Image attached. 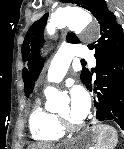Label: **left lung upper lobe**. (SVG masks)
<instances>
[{
  "mask_svg": "<svg viewBox=\"0 0 124 149\" xmlns=\"http://www.w3.org/2000/svg\"><path fill=\"white\" fill-rule=\"evenodd\" d=\"M63 2L75 3L90 11L97 19L100 25V38L88 45L89 49L95 51L94 56L97 62L124 49L122 26L116 22L115 15L109 11L104 0H63ZM48 15L46 13L30 27L22 45V58L24 61H28V68H24L22 72L26 96L33 92L35 81L43 66L40 60L39 48L43 44V30ZM66 39L69 43H79V39L74 33H68ZM93 72L94 69L91 72L83 69L81 72L80 78L87 86L92 79Z\"/></svg>",
  "mask_w": 124,
  "mask_h": 149,
  "instance_id": "5c2ea615",
  "label": "left lung upper lobe"
}]
</instances>
